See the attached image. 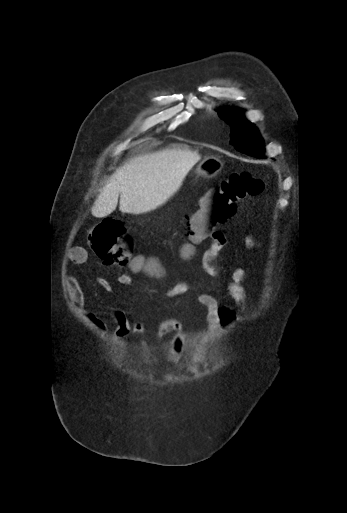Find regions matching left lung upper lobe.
<instances>
[{
  "label": "left lung upper lobe",
  "mask_w": 347,
  "mask_h": 513,
  "mask_svg": "<svg viewBox=\"0 0 347 513\" xmlns=\"http://www.w3.org/2000/svg\"><path fill=\"white\" fill-rule=\"evenodd\" d=\"M219 116L231 126V143L235 148L250 156H257L264 151L263 140L255 126L247 121L240 111H223Z\"/></svg>",
  "instance_id": "left-lung-upper-lobe-1"
}]
</instances>
